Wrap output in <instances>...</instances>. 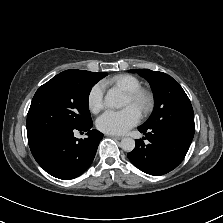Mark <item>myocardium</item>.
Wrapping results in <instances>:
<instances>
[{"label": "myocardium", "mask_w": 223, "mask_h": 223, "mask_svg": "<svg viewBox=\"0 0 223 223\" xmlns=\"http://www.w3.org/2000/svg\"><path fill=\"white\" fill-rule=\"evenodd\" d=\"M127 97L133 105L137 106L141 114H147L153 108L154 98L150 92L144 89L137 90L133 93H128Z\"/></svg>", "instance_id": "myocardium-1"}]
</instances>
